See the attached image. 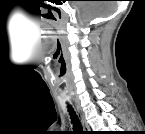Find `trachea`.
<instances>
[{"label": "trachea", "instance_id": "3493384b", "mask_svg": "<svg viewBox=\"0 0 145 134\" xmlns=\"http://www.w3.org/2000/svg\"><path fill=\"white\" fill-rule=\"evenodd\" d=\"M68 108H69V112H70V115H71V119H72V124L74 126V130L75 131H82L81 124H80L75 112L73 111V109L70 106H68Z\"/></svg>", "mask_w": 145, "mask_h": 134}]
</instances>
